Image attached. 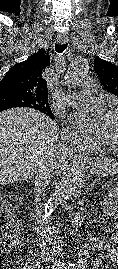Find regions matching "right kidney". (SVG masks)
Segmentation results:
<instances>
[{
  "label": "right kidney",
  "mask_w": 118,
  "mask_h": 269,
  "mask_svg": "<svg viewBox=\"0 0 118 269\" xmlns=\"http://www.w3.org/2000/svg\"><path fill=\"white\" fill-rule=\"evenodd\" d=\"M15 199H16V200H19L20 205L22 204L23 198H22L21 196H18V197H16Z\"/></svg>",
  "instance_id": "right-kidney-1"
}]
</instances>
